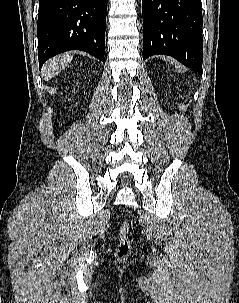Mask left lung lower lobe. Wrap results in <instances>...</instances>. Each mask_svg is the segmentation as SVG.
Returning <instances> with one entry per match:
<instances>
[{
    "instance_id": "1",
    "label": "left lung lower lobe",
    "mask_w": 239,
    "mask_h": 303,
    "mask_svg": "<svg viewBox=\"0 0 239 303\" xmlns=\"http://www.w3.org/2000/svg\"><path fill=\"white\" fill-rule=\"evenodd\" d=\"M143 59L169 55L202 75L201 0H142Z\"/></svg>"
}]
</instances>
